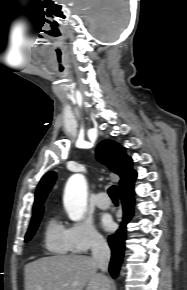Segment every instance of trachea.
<instances>
[{
	"mask_svg": "<svg viewBox=\"0 0 187 290\" xmlns=\"http://www.w3.org/2000/svg\"><path fill=\"white\" fill-rule=\"evenodd\" d=\"M108 194H109L110 198L112 199V201H114V202L118 201L117 190H116L115 185L109 187Z\"/></svg>",
	"mask_w": 187,
	"mask_h": 290,
	"instance_id": "trachea-1",
	"label": "trachea"
}]
</instances>
